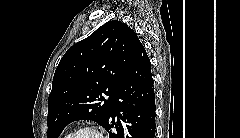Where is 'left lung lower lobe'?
Wrapping results in <instances>:
<instances>
[{
  "instance_id": "left-lung-lower-lobe-1",
  "label": "left lung lower lobe",
  "mask_w": 240,
  "mask_h": 138,
  "mask_svg": "<svg viewBox=\"0 0 240 138\" xmlns=\"http://www.w3.org/2000/svg\"><path fill=\"white\" fill-rule=\"evenodd\" d=\"M152 76L150 60L142 45L112 100L111 111L103 125L111 138L155 137L156 107ZM114 127L116 131L112 132Z\"/></svg>"
}]
</instances>
